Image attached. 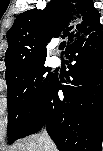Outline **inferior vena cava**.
Instances as JSON below:
<instances>
[{
	"instance_id": "1",
	"label": "inferior vena cava",
	"mask_w": 103,
	"mask_h": 151,
	"mask_svg": "<svg viewBox=\"0 0 103 151\" xmlns=\"http://www.w3.org/2000/svg\"><path fill=\"white\" fill-rule=\"evenodd\" d=\"M41 138L43 140V150L50 151L49 146L53 144L52 140L50 139L49 135L47 134L46 130L43 131L41 134Z\"/></svg>"
}]
</instances>
